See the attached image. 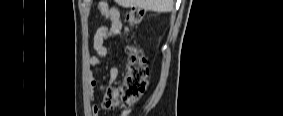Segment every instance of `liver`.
<instances>
[{
    "mask_svg": "<svg viewBox=\"0 0 283 116\" xmlns=\"http://www.w3.org/2000/svg\"><path fill=\"white\" fill-rule=\"evenodd\" d=\"M115 2L125 8L140 7L158 13L169 12L174 7V0H115Z\"/></svg>",
    "mask_w": 283,
    "mask_h": 116,
    "instance_id": "liver-1",
    "label": "liver"
}]
</instances>
